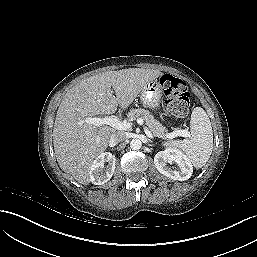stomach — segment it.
Listing matches in <instances>:
<instances>
[{"label": "stomach", "mask_w": 257, "mask_h": 257, "mask_svg": "<svg viewBox=\"0 0 257 257\" xmlns=\"http://www.w3.org/2000/svg\"><path fill=\"white\" fill-rule=\"evenodd\" d=\"M142 104L150 109H158L162 99V88L154 80L148 82L139 93Z\"/></svg>", "instance_id": "0dacf381"}]
</instances>
